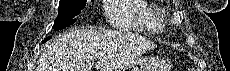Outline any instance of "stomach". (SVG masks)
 <instances>
[{
  "mask_svg": "<svg viewBox=\"0 0 230 71\" xmlns=\"http://www.w3.org/2000/svg\"><path fill=\"white\" fill-rule=\"evenodd\" d=\"M160 66H149L146 62H138L136 64L125 66L121 71H166L168 68L169 62L168 60L162 59L159 61Z\"/></svg>",
  "mask_w": 230,
  "mask_h": 71,
  "instance_id": "1",
  "label": "stomach"
}]
</instances>
